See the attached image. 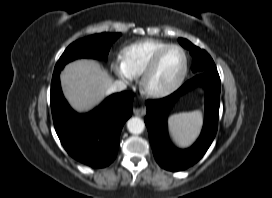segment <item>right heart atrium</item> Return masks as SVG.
<instances>
[{"instance_id":"right-heart-atrium-1","label":"right heart atrium","mask_w":272,"mask_h":198,"mask_svg":"<svg viewBox=\"0 0 272 198\" xmlns=\"http://www.w3.org/2000/svg\"><path fill=\"white\" fill-rule=\"evenodd\" d=\"M113 68L115 73L124 81L131 82L134 76L126 69L120 59L114 61Z\"/></svg>"}]
</instances>
